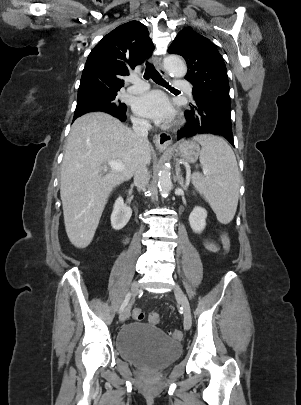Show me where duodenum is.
<instances>
[{
	"label": "duodenum",
	"mask_w": 301,
	"mask_h": 405,
	"mask_svg": "<svg viewBox=\"0 0 301 405\" xmlns=\"http://www.w3.org/2000/svg\"><path fill=\"white\" fill-rule=\"evenodd\" d=\"M126 195H127L128 197H130V193H129V192H126Z\"/></svg>",
	"instance_id": "1"
}]
</instances>
